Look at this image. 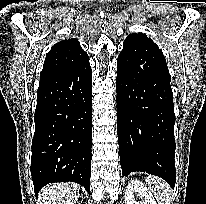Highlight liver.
I'll return each mask as SVG.
<instances>
[{"label":"liver","instance_id":"liver-1","mask_svg":"<svg viewBox=\"0 0 206 204\" xmlns=\"http://www.w3.org/2000/svg\"><path fill=\"white\" fill-rule=\"evenodd\" d=\"M76 183L49 184L41 189V204H75L79 198Z\"/></svg>","mask_w":206,"mask_h":204}]
</instances>
